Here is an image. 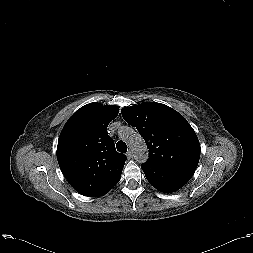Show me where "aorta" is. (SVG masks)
<instances>
[{"mask_svg":"<svg viewBox=\"0 0 253 253\" xmlns=\"http://www.w3.org/2000/svg\"><path fill=\"white\" fill-rule=\"evenodd\" d=\"M120 137L125 140L134 151V158L139 163H144L148 159V151L144 139L130 127H123Z\"/></svg>","mask_w":253,"mask_h":253,"instance_id":"aorta-1","label":"aorta"}]
</instances>
